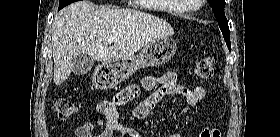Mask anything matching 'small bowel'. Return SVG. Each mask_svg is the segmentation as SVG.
<instances>
[{
    "instance_id": "c3829d8e",
    "label": "small bowel",
    "mask_w": 280,
    "mask_h": 137,
    "mask_svg": "<svg viewBox=\"0 0 280 137\" xmlns=\"http://www.w3.org/2000/svg\"><path fill=\"white\" fill-rule=\"evenodd\" d=\"M151 96L136 105L132 111V116L136 120L145 119L161 102H169V97L179 94L185 98L186 106L180 111V115H185L189 109L206 96V91L202 86H196L189 89L178 83L177 75L173 72H165L160 75H148L141 79L140 82L129 85L123 91H129L136 97L142 89L154 90ZM117 94L110 100L103 101L98 106V111L104 116V120L97 122H86L75 130V137H92V131L96 126L102 128V132L96 137H140V135L132 128L123 125L119 121L118 108L125 105ZM210 130L204 129L202 132ZM201 132V133H202ZM171 137H182L180 134H173Z\"/></svg>"
}]
</instances>
